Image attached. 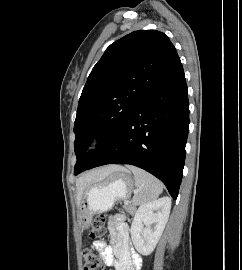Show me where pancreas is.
Here are the masks:
<instances>
[{
  "mask_svg": "<svg viewBox=\"0 0 242 270\" xmlns=\"http://www.w3.org/2000/svg\"><path fill=\"white\" fill-rule=\"evenodd\" d=\"M124 209L128 211L129 213L133 214L136 211V207L134 204H126L124 206Z\"/></svg>",
  "mask_w": 242,
  "mask_h": 270,
  "instance_id": "1",
  "label": "pancreas"
}]
</instances>
